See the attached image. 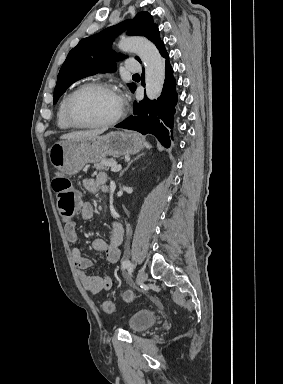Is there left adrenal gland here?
Listing matches in <instances>:
<instances>
[{
  "label": "left adrenal gland",
  "instance_id": "left-adrenal-gland-1",
  "mask_svg": "<svg viewBox=\"0 0 283 384\" xmlns=\"http://www.w3.org/2000/svg\"><path fill=\"white\" fill-rule=\"evenodd\" d=\"M141 156H144V154H140V156H137V158H134V160H131V162H129L128 166H126V168H124V170H122V172H120V178L122 176V174H124V172H126V170H128L129 166H131L132 162H135V160H139V158H141Z\"/></svg>",
  "mask_w": 283,
  "mask_h": 384
}]
</instances>
